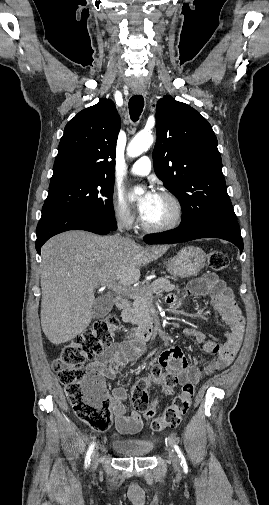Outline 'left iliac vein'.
<instances>
[{
	"mask_svg": "<svg viewBox=\"0 0 269 505\" xmlns=\"http://www.w3.org/2000/svg\"><path fill=\"white\" fill-rule=\"evenodd\" d=\"M169 455L172 460L174 469L179 471L180 470V459H179L178 455L173 451H170Z\"/></svg>",
	"mask_w": 269,
	"mask_h": 505,
	"instance_id": "left-iliac-vein-1",
	"label": "left iliac vein"
}]
</instances>
